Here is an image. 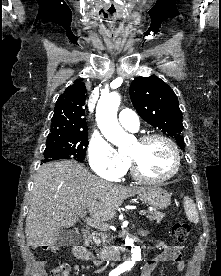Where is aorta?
I'll use <instances>...</instances> for the list:
<instances>
[{"mask_svg": "<svg viewBox=\"0 0 221 276\" xmlns=\"http://www.w3.org/2000/svg\"><path fill=\"white\" fill-rule=\"evenodd\" d=\"M120 96L113 92L106 96H101L96 108V121L99 129L104 137L121 148L126 143L128 134L120 126L117 119V111L120 105ZM126 244L132 246L130 264H134L141 259V250L139 247H134L133 240L126 238Z\"/></svg>", "mask_w": 221, "mask_h": 276, "instance_id": "aorta-1", "label": "aorta"}]
</instances>
